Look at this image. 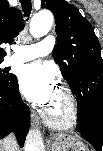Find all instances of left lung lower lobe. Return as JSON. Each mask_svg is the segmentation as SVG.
Segmentation results:
<instances>
[{
    "instance_id": "1",
    "label": "left lung lower lobe",
    "mask_w": 103,
    "mask_h": 151,
    "mask_svg": "<svg viewBox=\"0 0 103 151\" xmlns=\"http://www.w3.org/2000/svg\"><path fill=\"white\" fill-rule=\"evenodd\" d=\"M78 107L77 131L97 150L103 144V67L91 64L89 73L69 84Z\"/></svg>"
}]
</instances>
